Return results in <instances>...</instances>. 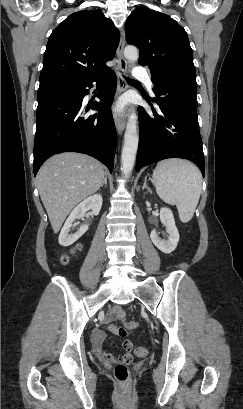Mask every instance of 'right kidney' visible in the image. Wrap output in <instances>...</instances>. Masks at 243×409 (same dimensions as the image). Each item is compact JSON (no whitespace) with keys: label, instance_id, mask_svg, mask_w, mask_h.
Segmentation results:
<instances>
[{"label":"right kidney","instance_id":"right-kidney-1","mask_svg":"<svg viewBox=\"0 0 243 409\" xmlns=\"http://www.w3.org/2000/svg\"><path fill=\"white\" fill-rule=\"evenodd\" d=\"M103 198L100 194H95L82 201L76 206L67 218L59 235V244L70 246L77 241L87 230L88 225H82L75 234H69L73 222L85 215L88 210H92L94 215H98L102 207Z\"/></svg>","mask_w":243,"mask_h":409}]
</instances>
